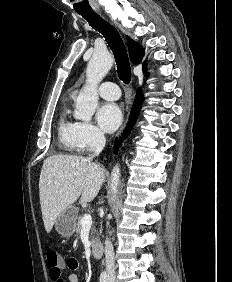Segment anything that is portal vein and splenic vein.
<instances>
[{
	"instance_id": "portal-vein-and-splenic-vein-1",
	"label": "portal vein and splenic vein",
	"mask_w": 232,
	"mask_h": 282,
	"mask_svg": "<svg viewBox=\"0 0 232 282\" xmlns=\"http://www.w3.org/2000/svg\"><path fill=\"white\" fill-rule=\"evenodd\" d=\"M82 227H91L92 217L89 214H85L81 219Z\"/></svg>"
}]
</instances>
